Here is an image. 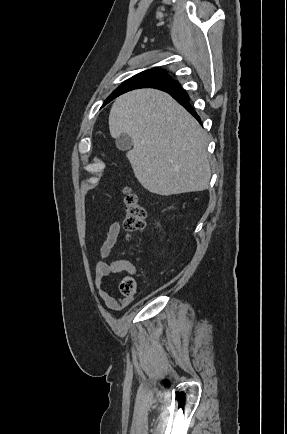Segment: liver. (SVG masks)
<instances>
[{
    "mask_svg": "<svg viewBox=\"0 0 287 434\" xmlns=\"http://www.w3.org/2000/svg\"><path fill=\"white\" fill-rule=\"evenodd\" d=\"M113 138L126 133L135 177L149 192L169 196L206 190L211 170L206 134L181 105L157 89L118 97L109 115Z\"/></svg>",
    "mask_w": 287,
    "mask_h": 434,
    "instance_id": "obj_1",
    "label": "liver"
}]
</instances>
